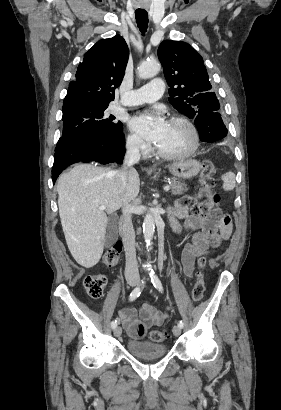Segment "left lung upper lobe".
Listing matches in <instances>:
<instances>
[{
    "mask_svg": "<svg viewBox=\"0 0 281 410\" xmlns=\"http://www.w3.org/2000/svg\"><path fill=\"white\" fill-rule=\"evenodd\" d=\"M173 107L190 119L198 114L218 112L219 101L211 92L203 59L188 43L163 41L158 48Z\"/></svg>",
    "mask_w": 281,
    "mask_h": 410,
    "instance_id": "1",
    "label": "left lung upper lobe"
}]
</instances>
